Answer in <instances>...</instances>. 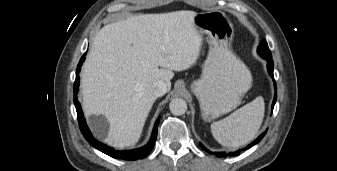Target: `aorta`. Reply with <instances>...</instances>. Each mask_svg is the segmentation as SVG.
Segmentation results:
<instances>
[{
	"instance_id": "1",
	"label": "aorta",
	"mask_w": 337,
	"mask_h": 171,
	"mask_svg": "<svg viewBox=\"0 0 337 171\" xmlns=\"http://www.w3.org/2000/svg\"><path fill=\"white\" fill-rule=\"evenodd\" d=\"M169 109L173 115L180 116L187 111V103L182 98H174L169 104Z\"/></svg>"
}]
</instances>
